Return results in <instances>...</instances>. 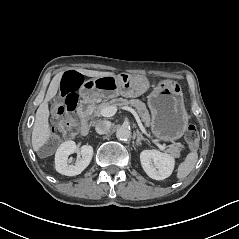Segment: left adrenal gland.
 I'll use <instances>...</instances> for the list:
<instances>
[{
    "mask_svg": "<svg viewBox=\"0 0 239 239\" xmlns=\"http://www.w3.org/2000/svg\"><path fill=\"white\" fill-rule=\"evenodd\" d=\"M141 141H145L142 134L139 132V130H137V141H136V145L137 146H141Z\"/></svg>",
    "mask_w": 239,
    "mask_h": 239,
    "instance_id": "left-adrenal-gland-1",
    "label": "left adrenal gland"
}]
</instances>
